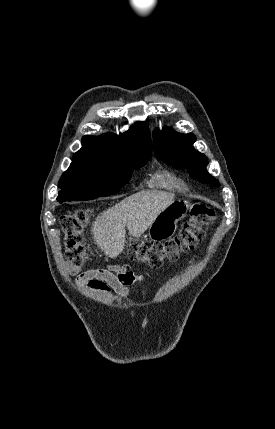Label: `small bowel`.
Returning a JSON list of instances; mask_svg holds the SVG:
<instances>
[{
  "label": "small bowel",
  "instance_id": "obj_1",
  "mask_svg": "<svg viewBox=\"0 0 275 429\" xmlns=\"http://www.w3.org/2000/svg\"><path fill=\"white\" fill-rule=\"evenodd\" d=\"M119 270L123 274L122 277H119L114 270H88L80 273L76 277V282L79 286L103 293H108L112 287L120 295L126 296L130 293V287L133 283L144 280L141 275H135L131 272L128 266L120 267Z\"/></svg>",
  "mask_w": 275,
  "mask_h": 429
}]
</instances>
